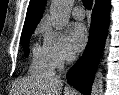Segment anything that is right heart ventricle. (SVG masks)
Instances as JSON below:
<instances>
[{"label": "right heart ventricle", "instance_id": "1", "mask_svg": "<svg viewBox=\"0 0 119 95\" xmlns=\"http://www.w3.org/2000/svg\"><path fill=\"white\" fill-rule=\"evenodd\" d=\"M29 71L34 75L51 76L54 67L45 45L35 44L32 49V57Z\"/></svg>", "mask_w": 119, "mask_h": 95}]
</instances>
